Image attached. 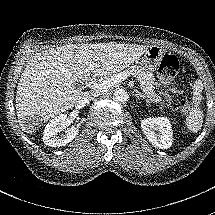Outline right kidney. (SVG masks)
I'll return each mask as SVG.
<instances>
[{"label":"right kidney","instance_id":"obj_1","mask_svg":"<svg viewBox=\"0 0 215 215\" xmlns=\"http://www.w3.org/2000/svg\"><path fill=\"white\" fill-rule=\"evenodd\" d=\"M68 121L65 114L59 115L52 119L44 129L43 142L50 147H64L69 144L80 132L79 126L71 125L65 129ZM64 133L60 135L61 131Z\"/></svg>","mask_w":215,"mask_h":215}]
</instances>
